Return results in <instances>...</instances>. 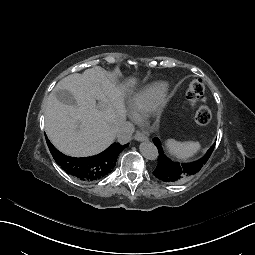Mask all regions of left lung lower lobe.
Returning <instances> with one entry per match:
<instances>
[{"label":"left lung lower lobe","mask_w":255,"mask_h":255,"mask_svg":"<svg viewBox=\"0 0 255 255\" xmlns=\"http://www.w3.org/2000/svg\"><path fill=\"white\" fill-rule=\"evenodd\" d=\"M153 145H156L158 149V154L155 157L158 165L152 168L151 175L159 178L160 181H165L168 185L193 177L198 170L209 162L211 153L217 147V144L212 142L201 157L179 160L172 158L169 153H165L164 144L158 137L153 139Z\"/></svg>","instance_id":"obj_1"}]
</instances>
